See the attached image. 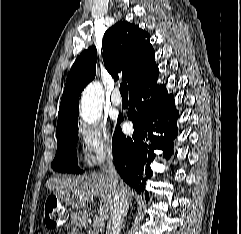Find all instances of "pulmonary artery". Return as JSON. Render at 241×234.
Here are the masks:
<instances>
[{
    "instance_id": "1",
    "label": "pulmonary artery",
    "mask_w": 241,
    "mask_h": 234,
    "mask_svg": "<svg viewBox=\"0 0 241 234\" xmlns=\"http://www.w3.org/2000/svg\"><path fill=\"white\" fill-rule=\"evenodd\" d=\"M111 103L115 107H120L122 105V98L119 94V90L115 89L111 96Z\"/></svg>"
}]
</instances>
